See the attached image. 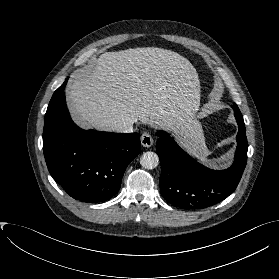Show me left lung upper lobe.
Returning <instances> with one entry per match:
<instances>
[{
  "label": "left lung upper lobe",
  "mask_w": 279,
  "mask_h": 279,
  "mask_svg": "<svg viewBox=\"0 0 279 279\" xmlns=\"http://www.w3.org/2000/svg\"><path fill=\"white\" fill-rule=\"evenodd\" d=\"M233 110H234L235 118L243 119L242 114L236 104L233 105Z\"/></svg>",
  "instance_id": "1"
}]
</instances>
